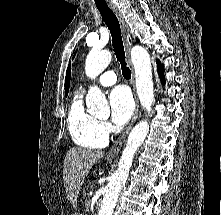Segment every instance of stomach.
Wrapping results in <instances>:
<instances>
[{
	"mask_svg": "<svg viewBox=\"0 0 221 215\" xmlns=\"http://www.w3.org/2000/svg\"><path fill=\"white\" fill-rule=\"evenodd\" d=\"M73 215H80L79 213H75V214H73Z\"/></svg>",
	"mask_w": 221,
	"mask_h": 215,
	"instance_id": "obj_1",
	"label": "stomach"
}]
</instances>
